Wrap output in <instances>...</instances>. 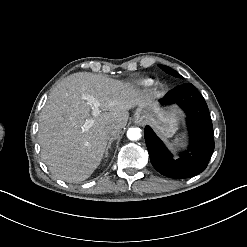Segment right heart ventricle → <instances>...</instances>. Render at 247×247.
Masks as SVG:
<instances>
[{"mask_svg":"<svg viewBox=\"0 0 247 247\" xmlns=\"http://www.w3.org/2000/svg\"><path fill=\"white\" fill-rule=\"evenodd\" d=\"M152 83H153L152 80H145V81H143V84L144 85H151Z\"/></svg>","mask_w":247,"mask_h":247,"instance_id":"obj_1","label":"right heart ventricle"}]
</instances>
